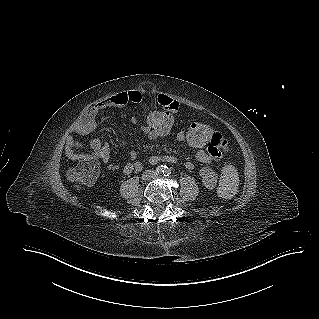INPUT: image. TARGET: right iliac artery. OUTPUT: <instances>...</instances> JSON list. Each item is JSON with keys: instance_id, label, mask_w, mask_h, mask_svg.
Instances as JSON below:
<instances>
[{"instance_id": "82829eb1", "label": "right iliac artery", "mask_w": 319, "mask_h": 319, "mask_svg": "<svg viewBox=\"0 0 319 319\" xmlns=\"http://www.w3.org/2000/svg\"><path fill=\"white\" fill-rule=\"evenodd\" d=\"M165 169H166V166L161 165V166H158V167L156 168V172H157V173H164Z\"/></svg>"}]
</instances>
